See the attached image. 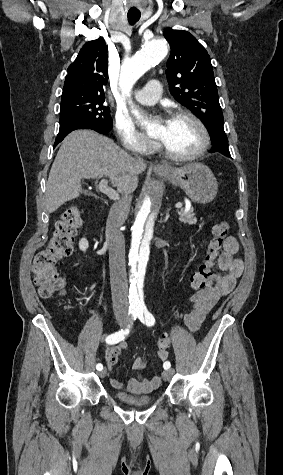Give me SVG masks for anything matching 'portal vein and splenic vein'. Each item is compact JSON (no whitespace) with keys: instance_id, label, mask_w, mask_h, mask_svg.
<instances>
[{"instance_id":"18ae733b","label":"portal vein and splenic vein","mask_w":283,"mask_h":475,"mask_svg":"<svg viewBox=\"0 0 283 475\" xmlns=\"http://www.w3.org/2000/svg\"><path fill=\"white\" fill-rule=\"evenodd\" d=\"M99 190L102 192V194H106L110 200H118L119 194L113 190V188H108L107 186V180H101L99 184ZM183 204L181 202H178V204H175V208H182ZM186 206H189L186 202Z\"/></svg>"}]
</instances>
